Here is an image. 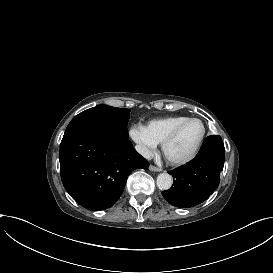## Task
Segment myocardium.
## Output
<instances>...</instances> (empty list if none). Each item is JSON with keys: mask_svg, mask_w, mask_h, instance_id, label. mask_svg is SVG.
<instances>
[{"mask_svg": "<svg viewBox=\"0 0 273 273\" xmlns=\"http://www.w3.org/2000/svg\"><path fill=\"white\" fill-rule=\"evenodd\" d=\"M200 121L203 124V134L200 138V140L198 141L197 145L195 146V148L191 151V153L189 155H187L186 157L180 158V159H171L168 158L166 155V148L167 146L174 140V138L176 137V135L178 134V132L180 131V129L187 123L191 122V121ZM208 133V124L206 123V121L200 117H196V116H191L188 117L187 119L179 122L178 124H176L171 130L170 132L164 137V139L161 142V150L163 152L164 157L166 158L167 162L173 166H183L186 165L188 163H190L191 161H193L195 159V157L197 156V154L199 153L205 139Z\"/></svg>", "mask_w": 273, "mask_h": 273, "instance_id": "1", "label": "myocardium"}]
</instances>
